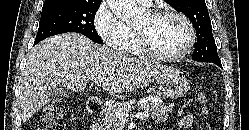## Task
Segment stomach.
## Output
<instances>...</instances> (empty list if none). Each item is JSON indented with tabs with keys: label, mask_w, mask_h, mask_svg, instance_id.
Masks as SVG:
<instances>
[{
	"label": "stomach",
	"mask_w": 249,
	"mask_h": 130,
	"mask_svg": "<svg viewBox=\"0 0 249 130\" xmlns=\"http://www.w3.org/2000/svg\"><path fill=\"white\" fill-rule=\"evenodd\" d=\"M157 85L161 95L166 98L181 97L190 89L187 79L178 70L161 74L157 78Z\"/></svg>",
	"instance_id": "1"
}]
</instances>
